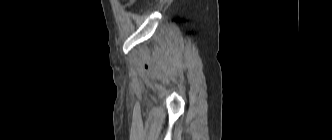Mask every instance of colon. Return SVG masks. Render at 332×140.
Masks as SVG:
<instances>
[{"label":"colon","instance_id":"colon-1","mask_svg":"<svg viewBox=\"0 0 332 140\" xmlns=\"http://www.w3.org/2000/svg\"><path fill=\"white\" fill-rule=\"evenodd\" d=\"M128 1H130V2H135L136 0H128Z\"/></svg>","mask_w":332,"mask_h":140}]
</instances>
